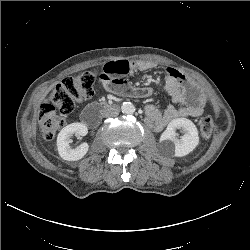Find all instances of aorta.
<instances>
[{"mask_svg": "<svg viewBox=\"0 0 250 250\" xmlns=\"http://www.w3.org/2000/svg\"><path fill=\"white\" fill-rule=\"evenodd\" d=\"M121 111L124 114H133L135 112V107L131 102H124L121 106Z\"/></svg>", "mask_w": 250, "mask_h": 250, "instance_id": "aorta-1", "label": "aorta"}]
</instances>
